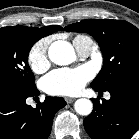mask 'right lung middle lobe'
<instances>
[{
    "mask_svg": "<svg viewBox=\"0 0 139 139\" xmlns=\"http://www.w3.org/2000/svg\"><path fill=\"white\" fill-rule=\"evenodd\" d=\"M39 39L22 30L0 28V87L25 93L37 89L35 77L28 65V54Z\"/></svg>",
    "mask_w": 139,
    "mask_h": 139,
    "instance_id": "dd1d6c3e",
    "label": "right lung middle lobe"
}]
</instances>
